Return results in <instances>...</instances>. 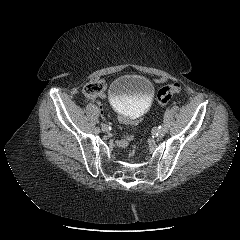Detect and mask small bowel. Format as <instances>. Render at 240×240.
Wrapping results in <instances>:
<instances>
[{
	"label": "small bowel",
	"instance_id": "obj_1",
	"mask_svg": "<svg viewBox=\"0 0 240 240\" xmlns=\"http://www.w3.org/2000/svg\"><path fill=\"white\" fill-rule=\"evenodd\" d=\"M158 81L163 82L164 79L160 78ZM100 97L103 100H106L108 98V95L106 93H101ZM112 117L120 124L128 125V126H134V127L142 125L148 119V116L146 114H143L139 119H136V120L129 119V118H123L117 112H114L112 114ZM134 141H135V136L133 134H128V135L123 136L122 139H120L119 141H117L116 145L119 148H124V147L127 146L128 143H133Z\"/></svg>",
	"mask_w": 240,
	"mask_h": 240
}]
</instances>
